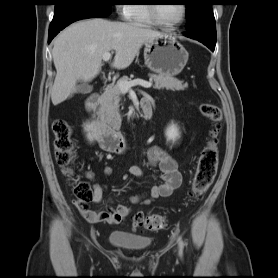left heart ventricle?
Returning a JSON list of instances; mask_svg holds the SVG:
<instances>
[{"label":"left heart ventricle","instance_id":"b2bd125f","mask_svg":"<svg viewBox=\"0 0 278 278\" xmlns=\"http://www.w3.org/2000/svg\"><path fill=\"white\" fill-rule=\"evenodd\" d=\"M181 11V4L177 3L156 6V14L158 18L166 24L176 22L181 16Z\"/></svg>","mask_w":278,"mask_h":278}]
</instances>
